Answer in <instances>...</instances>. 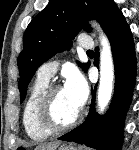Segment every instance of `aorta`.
Instances as JSON below:
<instances>
[{
  "instance_id": "aorta-1",
  "label": "aorta",
  "mask_w": 139,
  "mask_h": 150,
  "mask_svg": "<svg viewBox=\"0 0 139 150\" xmlns=\"http://www.w3.org/2000/svg\"><path fill=\"white\" fill-rule=\"evenodd\" d=\"M95 26L100 32V43L102 46V50L100 52V80L97 95V106L98 112L103 113L113 94L114 64L109 40L100 27L97 24H95Z\"/></svg>"
}]
</instances>
